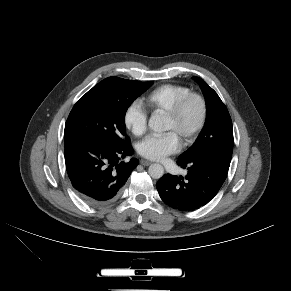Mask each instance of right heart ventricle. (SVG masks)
Returning a JSON list of instances; mask_svg holds the SVG:
<instances>
[{"mask_svg": "<svg viewBox=\"0 0 291 291\" xmlns=\"http://www.w3.org/2000/svg\"><path fill=\"white\" fill-rule=\"evenodd\" d=\"M191 93L187 86L178 84H163L150 91L142 104L151 113H166L181 98Z\"/></svg>", "mask_w": 291, "mask_h": 291, "instance_id": "1", "label": "right heart ventricle"}]
</instances>
